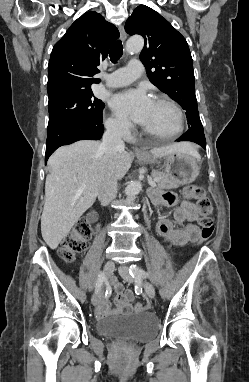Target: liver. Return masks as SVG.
<instances>
[{"instance_id": "1", "label": "liver", "mask_w": 249, "mask_h": 382, "mask_svg": "<svg viewBox=\"0 0 249 382\" xmlns=\"http://www.w3.org/2000/svg\"><path fill=\"white\" fill-rule=\"evenodd\" d=\"M100 146L98 141H77L58 148L48 160L41 233L51 249L58 247L74 224L94 204L105 170L112 167L117 179H122L131 167L130 153L119 151L110 159ZM177 151L198 157L193 146L185 142L155 148L150 152L155 157H165Z\"/></svg>"}]
</instances>
